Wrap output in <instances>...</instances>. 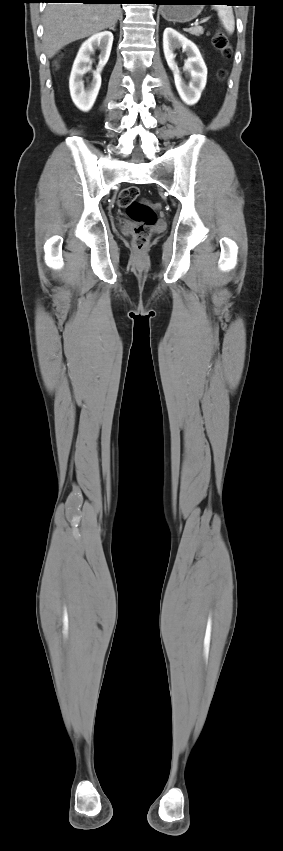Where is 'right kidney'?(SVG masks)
<instances>
[{
  "instance_id": "right-kidney-1",
  "label": "right kidney",
  "mask_w": 283,
  "mask_h": 851,
  "mask_svg": "<svg viewBox=\"0 0 283 851\" xmlns=\"http://www.w3.org/2000/svg\"><path fill=\"white\" fill-rule=\"evenodd\" d=\"M112 43L113 34L109 31H103L87 39L78 51L69 79V88L74 104L81 111H89L96 100L101 86L100 73L109 59ZM97 48L101 51L99 64L97 70L93 73L92 82L85 88L83 76L91 70V67L88 66L91 61L90 55Z\"/></svg>"
}]
</instances>
